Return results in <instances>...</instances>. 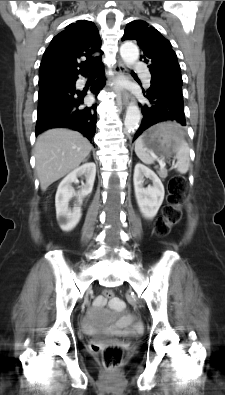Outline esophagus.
<instances>
[{
    "instance_id": "esophagus-1",
    "label": "esophagus",
    "mask_w": 225,
    "mask_h": 395,
    "mask_svg": "<svg viewBox=\"0 0 225 395\" xmlns=\"http://www.w3.org/2000/svg\"><path fill=\"white\" fill-rule=\"evenodd\" d=\"M115 77H120L123 75L126 71V67L122 61H118L116 64L115 68ZM117 100L121 102L123 105H127L130 100H132V97L126 90H117Z\"/></svg>"
}]
</instances>
